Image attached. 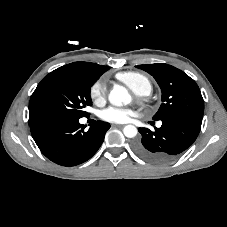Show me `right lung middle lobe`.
<instances>
[{"instance_id": "obj_1", "label": "right lung middle lobe", "mask_w": 227, "mask_h": 227, "mask_svg": "<svg viewBox=\"0 0 227 227\" xmlns=\"http://www.w3.org/2000/svg\"><path fill=\"white\" fill-rule=\"evenodd\" d=\"M100 76L58 68L37 86L29 103V125L44 120L80 119L92 105L90 88Z\"/></svg>"}]
</instances>
